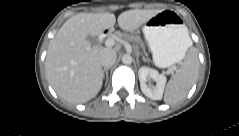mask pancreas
<instances>
[{"instance_id":"obj_1","label":"pancreas","mask_w":239,"mask_h":136,"mask_svg":"<svg viewBox=\"0 0 239 136\" xmlns=\"http://www.w3.org/2000/svg\"><path fill=\"white\" fill-rule=\"evenodd\" d=\"M124 38L128 41H137L138 38L136 36L130 35V34H125Z\"/></svg>"}]
</instances>
